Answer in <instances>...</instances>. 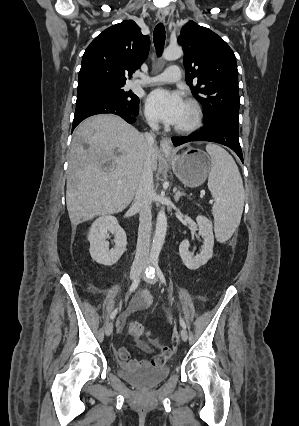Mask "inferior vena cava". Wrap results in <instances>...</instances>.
<instances>
[{"label":"inferior vena cava","mask_w":299,"mask_h":426,"mask_svg":"<svg viewBox=\"0 0 299 426\" xmlns=\"http://www.w3.org/2000/svg\"><path fill=\"white\" fill-rule=\"evenodd\" d=\"M152 131H157L159 125L156 121H148ZM147 153L143 164L140 180L134 198V207L139 212V229L136 246V255L133 268L143 267L149 262V247L152 228V198L154 194L153 170L151 154L155 145V135L153 132L145 134Z\"/></svg>","instance_id":"inferior-vena-cava-1"}]
</instances>
